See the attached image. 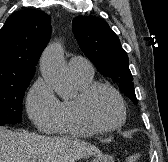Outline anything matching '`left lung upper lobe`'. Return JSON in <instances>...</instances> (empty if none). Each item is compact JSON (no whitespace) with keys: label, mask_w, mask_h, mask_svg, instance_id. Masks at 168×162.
I'll return each mask as SVG.
<instances>
[{"label":"left lung upper lobe","mask_w":168,"mask_h":162,"mask_svg":"<svg viewBox=\"0 0 168 162\" xmlns=\"http://www.w3.org/2000/svg\"><path fill=\"white\" fill-rule=\"evenodd\" d=\"M72 31L81 50L96 65L98 71L110 77L137 104L128 56L109 25L95 16H77L73 19Z\"/></svg>","instance_id":"left-lung-upper-lobe-1"}]
</instances>
